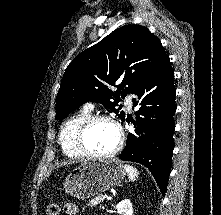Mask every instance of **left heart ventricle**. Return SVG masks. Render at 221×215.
<instances>
[{
	"instance_id": "obj_1",
	"label": "left heart ventricle",
	"mask_w": 221,
	"mask_h": 215,
	"mask_svg": "<svg viewBox=\"0 0 221 215\" xmlns=\"http://www.w3.org/2000/svg\"><path fill=\"white\" fill-rule=\"evenodd\" d=\"M117 142L115 127L107 121L96 122L87 132L85 143L94 153H105L111 150Z\"/></svg>"
}]
</instances>
